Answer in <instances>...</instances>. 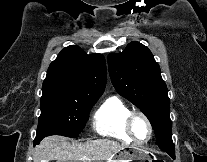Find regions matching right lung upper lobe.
I'll use <instances>...</instances> for the list:
<instances>
[{
  "mask_svg": "<svg viewBox=\"0 0 207 162\" xmlns=\"http://www.w3.org/2000/svg\"><path fill=\"white\" fill-rule=\"evenodd\" d=\"M106 85V64L101 54L87 55L80 47L64 48L50 64L42 90L82 96H101Z\"/></svg>",
  "mask_w": 207,
  "mask_h": 162,
  "instance_id": "obj_1",
  "label": "right lung upper lobe"
}]
</instances>
